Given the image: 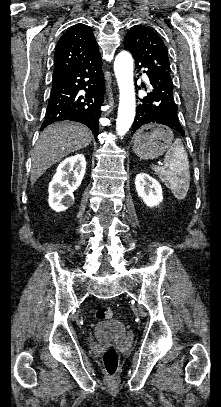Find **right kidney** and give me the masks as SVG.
<instances>
[{
  "label": "right kidney",
  "instance_id": "right-kidney-1",
  "mask_svg": "<svg viewBox=\"0 0 221 407\" xmlns=\"http://www.w3.org/2000/svg\"><path fill=\"white\" fill-rule=\"evenodd\" d=\"M85 170L83 154L70 156L59 164L48 189V203L54 211H65L73 204V192L80 186Z\"/></svg>",
  "mask_w": 221,
  "mask_h": 407
}]
</instances>
